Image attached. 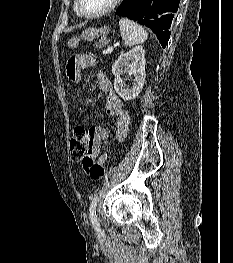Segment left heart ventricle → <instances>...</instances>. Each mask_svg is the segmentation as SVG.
Segmentation results:
<instances>
[{
	"mask_svg": "<svg viewBox=\"0 0 233 263\" xmlns=\"http://www.w3.org/2000/svg\"><path fill=\"white\" fill-rule=\"evenodd\" d=\"M112 0H81V8L85 13L92 14L106 8Z\"/></svg>",
	"mask_w": 233,
	"mask_h": 263,
	"instance_id": "b2bd125f",
	"label": "left heart ventricle"
}]
</instances>
